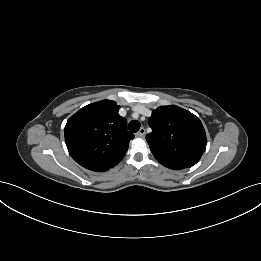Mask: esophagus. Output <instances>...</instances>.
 Instances as JSON below:
<instances>
[{
    "label": "esophagus",
    "instance_id": "34e87169",
    "mask_svg": "<svg viewBox=\"0 0 261 261\" xmlns=\"http://www.w3.org/2000/svg\"><path fill=\"white\" fill-rule=\"evenodd\" d=\"M145 133H146V131H145V129L142 127V128H140V130L137 132V136L138 137H144L145 136Z\"/></svg>",
    "mask_w": 261,
    "mask_h": 261
}]
</instances>
